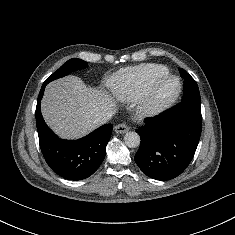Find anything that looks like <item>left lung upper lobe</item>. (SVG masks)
<instances>
[{"label":"left lung upper lobe","instance_id":"obj_1","mask_svg":"<svg viewBox=\"0 0 235 235\" xmlns=\"http://www.w3.org/2000/svg\"><path fill=\"white\" fill-rule=\"evenodd\" d=\"M179 72H180V75L182 78L183 77L188 78L191 82V85L193 87V92L191 94V97L194 99H201L200 93H199V88H198L196 81L184 69L179 68Z\"/></svg>","mask_w":235,"mask_h":235}]
</instances>
